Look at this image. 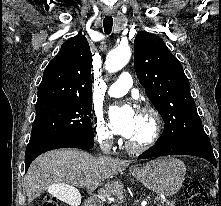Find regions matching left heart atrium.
Returning <instances> with one entry per match:
<instances>
[{
	"label": "left heart atrium",
	"mask_w": 221,
	"mask_h": 206,
	"mask_svg": "<svg viewBox=\"0 0 221 206\" xmlns=\"http://www.w3.org/2000/svg\"><path fill=\"white\" fill-rule=\"evenodd\" d=\"M137 112L130 105L113 106L109 110L110 125L119 135L130 138L137 123Z\"/></svg>",
	"instance_id": "left-heart-atrium-1"
}]
</instances>
